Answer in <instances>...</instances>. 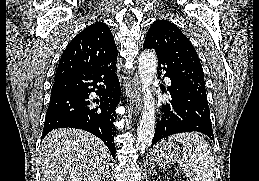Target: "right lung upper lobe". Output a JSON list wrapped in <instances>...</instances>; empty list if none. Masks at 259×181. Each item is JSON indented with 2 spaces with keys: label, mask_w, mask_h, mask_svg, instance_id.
I'll return each mask as SVG.
<instances>
[{
  "label": "right lung upper lobe",
  "mask_w": 259,
  "mask_h": 181,
  "mask_svg": "<svg viewBox=\"0 0 259 181\" xmlns=\"http://www.w3.org/2000/svg\"><path fill=\"white\" fill-rule=\"evenodd\" d=\"M117 47L110 28L96 22L77 34L64 50L55 79L83 70L100 68L115 61Z\"/></svg>",
  "instance_id": "obj_1"
}]
</instances>
